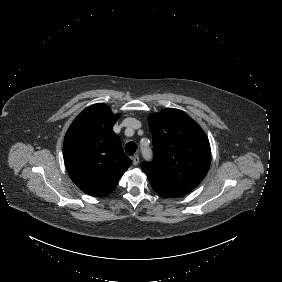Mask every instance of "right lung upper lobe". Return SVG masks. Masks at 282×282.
I'll return each mask as SVG.
<instances>
[{"label":"right lung upper lobe","mask_w":282,"mask_h":282,"mask_svg":"<svg viewBox=\"0 0 282 282\" xmlns=\"http://www.w3.org/2000/svg\"><path fill=\"white\" fill-rule=\"evenodd\" d=\"M120 116L105 104H94L83 110L66 132L63 156L68 174L91 196L112 192L132 163L113 131Z\"/></svg>","instance_id":"obj_1"}]
</instances>
